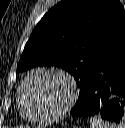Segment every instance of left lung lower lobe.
Instances as JSON below:
<instances>
[{"instance_id": "left-lung-lower-lobe-1", "label": "left lung lower lobe", "mask_w": 125, "mask_h": 128, "mask_svg": "<svg viewBox=\"0 0 125 128\" xmlns=\"http://www.w3.org/2000/svg\"><path fill=\"white\" fill-rule=\"evenodd\" d=\"M70 114L125 123V29L92 71Z\"/></svg>"}]
</instances>
